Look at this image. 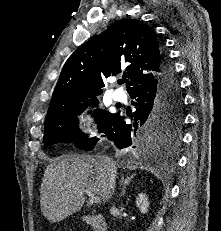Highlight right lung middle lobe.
<instances>
[{"label": "right lung middle lobe", "mask_w": 221, "mask_h": 231, "mask_svg": "<svg viewBox=\"0 0 221 231\" xmlns=\"http://www.w3.org/2000/svg\"><path fill=\"white\" fill-rule=\"evenodd\" d=\"M74 98L58 108L45 121L44 142L51 146L57 142L77 143L81 146L87 139L85 134L79 133L77 115L88 105H97L98 100L92 97ZM83 102V103H81ZM99 132H103L113 117V114L100 109L94 111ZM183 119L182 103L168 95H161L150 115L146 125L142 128L148 139L168 145L179 138Z\"/></svg>", "instance_id": "1"}]
</instances>
